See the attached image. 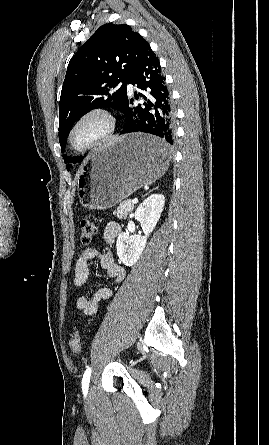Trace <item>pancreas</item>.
<instances>
[{"mask_svg": "<svg viewBox=\"0 0 269 445\" xmlns=\"http://www.w3.org/2000/svg\"><path fill=\"white\" fill-rule=\"evenodd\" d=\"M133 209L134 204L130 200L123 201L114 211V215H116L118 219H125L130 214V212H132Z\"/></svg>", "mask_w": 269, "mask_h": 445, "instance_id": "cf45deb5", "label": "pancreas"}]
</instances>
